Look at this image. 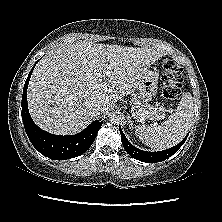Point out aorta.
I'll return each instance as SVG.
<instances>
[{"label":"aorta","mask_w":222,"mask_h":222,"mask_svg":"<svg viewBox=\"0 0 222 222\" xmlns=\"http://www.w3.org/2000/svg\"><path fill=\"white\" fill-rule=\"evenodd\" d=\"M110 122L114 125H119L121 120H122V117H121V114L119 112H112L110 114Z\"/></svg>","instance_id":"aorta-1"}]
</instances>
